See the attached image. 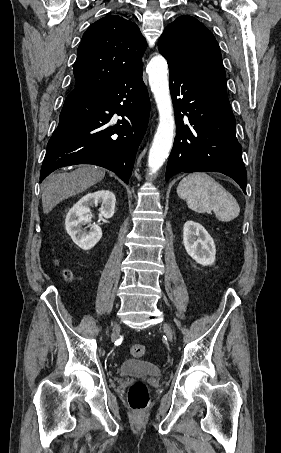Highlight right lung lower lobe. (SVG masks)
<instances>
[{
    "label": "right lung lower lobe",
    "mask_w": 281,
    "mask_h": 453,
    "mask_svg": "<svg viewBox=\"0 0 281 453\" xmlns=\"http://www.w3.org/2000/svg\"><path fill=\"white\" fill-rule=\"evenodd\" d=\"M115 113L122 117L117 123ZM149 113L142 64L115 83L75 87L48 142L40 182L60 167L94 164L128 183Z\"/></svg>",
    "instance_id": "obj_1"
}]
</instances>
